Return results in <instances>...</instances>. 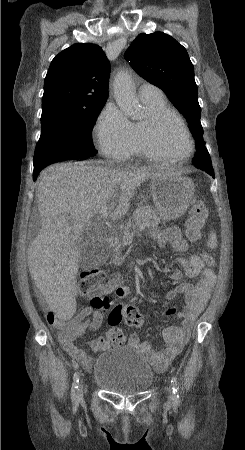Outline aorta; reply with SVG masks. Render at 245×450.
Here are the masks:
<instances>
[{"instance_id":"aorta-1","label":"aorta","mask_w":245,"mask_h":450,"mask_svg":"<svg viewBox=\"0 0 245 450\" xmlns=\"http://www.w3.org/2000/svg\"><path fill=\"white\" fill-rule=\"evenodd\" d=\"M113 91L117 105L131 119L137 120L141 115L139 102L135 96L134 84L127 72H120L114 79Z\"/></svg>"}]
</instances>
